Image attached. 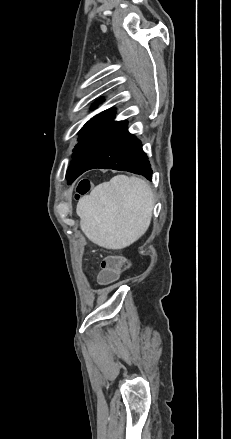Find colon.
I'll return each mask as SVG.
<instances>
[{
    "label": "colon",
    "mask_w": 231,
    "mask_h": 439,
    "mask_svg": "<svg viewBox=\"0 0 231 439\" xmlns=\"http://www.w3.org/2000/svg\"><path fill=\"white\" fill-rule=\"evenodd\" d=\"M90 181L81 180L77 185V195L81 196L89 192ZM125 258L120 255H109L101 261V270L97 275V280L101 287H110L120 280V271L125 267Z\"/></svg>",
    "instance_id": "1"
}]
</instances>
